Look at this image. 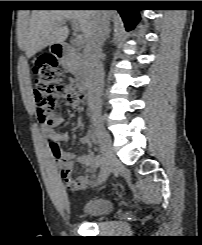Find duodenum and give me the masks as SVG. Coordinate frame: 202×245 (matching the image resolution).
<instances>
[{
    "label": "duodenum",
    "instance_id": "1",
    "mask_svg": "<svg viewBox=\"0 0 202 245\" xmlns=\"http://www.w3.org/2000/svg\"><path fill=\"white\" fill-rule=\"evenodd\" d=\"M54 55L58 58L66 60H77L79 59L78 54L76 53L75 48L68 42H58L52 47ZM76 89L78 92L85 95L92 92V80L91 78L83 71L78 73L76 79Z\"/></svg>",
    "mask_w": 202,
    "mask_h": 245
}]
</instances>
